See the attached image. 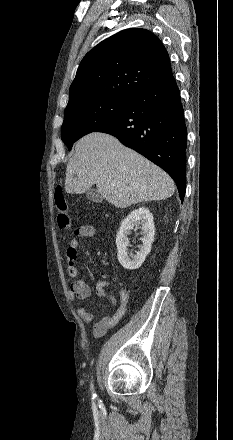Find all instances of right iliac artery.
Here are the masks:
<instances>
[{
    "instance_id": "right-iliac-artery-1",
    "label": "right iliac artery",
    "mask_w": 233,
    "mask_h": 440,
    "mask_svg": "<svg viewBox=\"0 0 233 440\" xmlns=\"http://www.w3.org/2000/svg\"><path fill=\"white\" fill-rule=\"evenodd\" d=\"M91 388L93 389V385H91ZM92 396L95 398L97 395L93 392Z\"/></svg>"
}]
</instances>
